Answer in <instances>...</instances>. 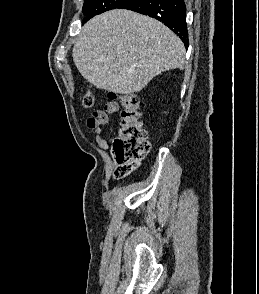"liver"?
I'll list each match as a JSON object with an SVG mask.
<instances>
[{
	"label": "liver",
	"instance_id": "obj_1",
	"mask_svg": "<svg viewBox=\"0 0 259 294\" xmlns=\"http://www.w3.org/2000/svg\"><path fill=\"white\" fill-rule=\"evenodd\" d=\"M185 47L161 22L125 9L90 19L73 48L81 75L99 89L141 91L155 76L182 69Z\"/></svg>",
	"mask_w": 259,
	"mask_h": 294
}]
</instances>
